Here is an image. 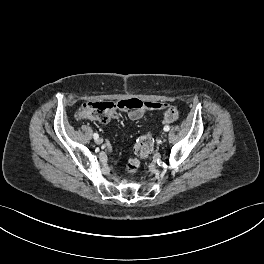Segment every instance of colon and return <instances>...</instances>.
Wrapping results in <instances>:
<instances>
[{
    "label": "colon",
    "mask_w": 264,
    "mask_h": 264,
    "mask_svg": "<svg viewBox=\"0 0 264 264\" xmlns=\"http://www.w3.org/2000/svg\"><path fill=\"white\" fill-rule=\"evenodd\" d=\"M126 101L120 102H88L81 106L77 113V119H91L99 122H108L115 117L117 109L128 107ZM154 140L150 131L140 136L134 147L135 157L127 164L130 174L136 173L140 167L141 160L147 158L153 150Z\"/></svg>",
    "instance_id": "obj_1"
}]
</instances>
